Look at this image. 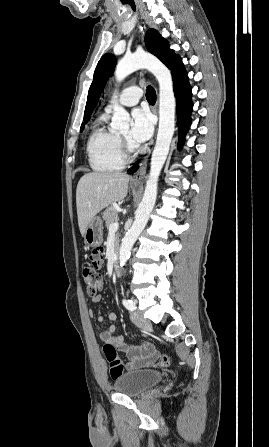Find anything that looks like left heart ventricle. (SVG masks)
Segmentation results:
<instances>
[{
	"mask_svg": "<svg viewBox=\"0 0 269 447\" xmlns=\"http://www.w3.org/2000/svg\"><path fill=\"white\" fill-rule=\"evenodd\" d=\"M121 137H123V138L128 139V140L131 141V135H130V132H129V131L122 133V134H121Z\"/></svg>",
	"mask_w": 269,
	"mask_h": 447,
	"instance_id": "left-heart-ventricle-1",
	"label": "left heart ventricle"
}]
</instances>
